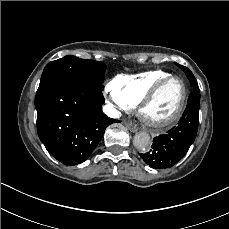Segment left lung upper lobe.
<instances>
[{
  "mask_svg": "<svg viewBox=\"0 0 229 229\" xmlns=\"http://www.w3.org/2000/svg\"><path fill=\"white\" fill-rule=\"evenodd\" d=\"M179 68H181L184 72L188 69L185 66L179 65L177 63H175Z\"/></svg>",
  "mask_w": 229,
  "mask_h": 229,
  "instance_id": "1",
  "label": "left lung upper lobe"
}]
</instances>
